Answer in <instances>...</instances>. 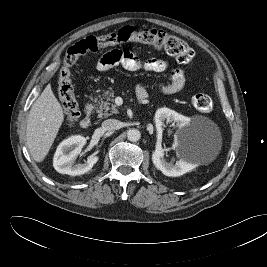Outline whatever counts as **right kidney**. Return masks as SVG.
<instances>
[{
	"label": "right kidney",
	"instance_id": "1",
	"mask_svg": "<svg viewBox=\"0 0 267 267\" xmlns=\"http://www.w3.org/2000/svg\"><path fill=\"white\" fill-rule=\"evenodd\" d=\"M86 144V138L80 135L71 136L62 141L56 149L53 166L61 174L72 176L82 175L92 169L97 163V156H90L84 164H76V157L81 153L83 146Z\"/></svg>",
	"mask_w": 267,
	"mask_h": 267
}]
</instances>
